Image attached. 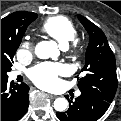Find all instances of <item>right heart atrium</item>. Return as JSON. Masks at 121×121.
Listing matches in <instances>:
<instances>
[{
    "label": "right heart atrium",
    "instance_id": "d8ad5b80",
    "mask_svg": "<svg viewBox=\"0 0 121 121\" xmlns=\"http://www.w3.org/2000/svg\"><path fill=\"white\" fill-rule=\"evenodd\" d=\"M32 50H33V44L30 41H26L22 44L19 50V54L27 55L30 54Z\"/></svg>",
    "mask_w": 121,
    "mask_h": 121
}]
</instances>
